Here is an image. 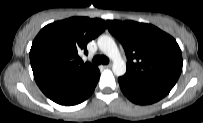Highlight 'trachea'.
Returning <instances> with one entry per match:
<instances>
[{
	"mask_svg": "<svg viewBox=\"0 0 203 123\" xmlns=\"http://www.w3.org/2000/svg\"><path fill=\"white\" fill-rule=\"evenodd\" d=\"M92 63L95 65H99V64H108L109 63V59L104 56V55H97L93 58Z\"/></svg>",
	"mask_w": 203,
	"mask_h": 123,
	"instance_id": "3493384b",
	"label": "trachea"
}]
</instances>
